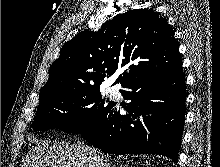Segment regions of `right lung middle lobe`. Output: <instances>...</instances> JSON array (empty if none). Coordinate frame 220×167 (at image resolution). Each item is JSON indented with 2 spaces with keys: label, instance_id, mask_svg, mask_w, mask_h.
Here are the masks:
<instances>
[{
  "label": "right lung middle lobe",
  "instance_id": "right-lung-middle-lobe-1",
  "mask_svg": "<svg viewBox=\"0 0 220 167\" xmlns=\"http://www.w3.org/2000/svg\"><path fill=\"white\" fill-rule=\"evenodd\" d=\"M112 102L102 98L99 87L62 91L40 102L33 128L37 131L56 128L81 134L101 118Z\"/></svg>",
  "mask_w": 220,
  "mask_h": 167
}]
</instances>
